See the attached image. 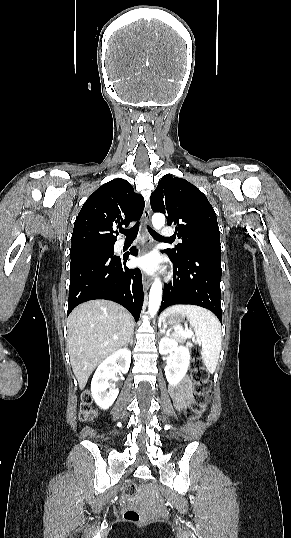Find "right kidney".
<instances>
[{
  "mask_svg": "<svg viewBox=\"0 0 291 538\" xmlns=\"http://www.w3.org/2000/svg\"><path fill=\"white\" fill-rule=\"evenodd\" d=\"M130 363L131 351L122 348L108 356L97 367L91 382V393L101 409H108L119 394L116 384L109 382V379L117 382V373H127Z\"/></svg>",
  "mask_w": 291,
  "mask_h": 538,
  "instance_id": "right-kidney-1",
  "label": "right kidney"
}]
</instances>
